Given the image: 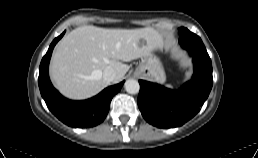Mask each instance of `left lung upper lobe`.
<instances>
[{
    "label": "left lung upper lobe",
    "mask_w": 258,
    "mask_h": 158,
    "mask_svg": "<svg viewBox=\"0 0 258 158\" xmlns=\"http://www.w3.org/2000/svg\"><path fill=\"white\" fill-rule=\"evenodd\" d=\"M186 29L187 28H184V27L179 28V34L182 35L186 31Z\"/></svg>",
    "instance_id": "5c2ea615"
}]
</instances>
